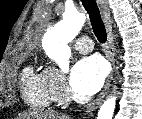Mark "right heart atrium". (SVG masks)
I'll return each instance as SVG.
<instances>
[{
  "label": "right heart atrium",
  "instance_id": "right-heart-atrium-1",
  "mask_svg": "<svg viewBox=\"0 0 142 119\" xmlns=\"http://www.w3.org/2000/svg\"><path fill=\"white\" fill-rule=\"evenodd\" d=\"M45 72L47 73L50 79L54 101H65L69 96V90L67 88L63 74H61L53 67H47L45 69Z\"/></svg>",
  "mask_w": 142,
  "mask_h": 119
}]
</instances>
